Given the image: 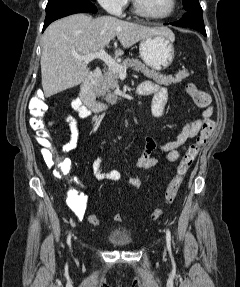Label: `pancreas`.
I'll use <instances>...</instances> for the list:
<instances>
[{"mask_svg": "<svg viewBox=\"0 0 240 287\" xmlns=\"http://www.w3.org/2000/svg\"><path fill=\"white\" fill-rule=\"evenodd\" d=\"M121 66L132 67L137 72H142L146 77L153 79L155 82L168 86L172 83H179L190 75L187 70L179 71L175 77L171 75L165 76L155 70H151L145 66L139 59L126 58L120 63ZM119 74L108 68L104 71L103 76L98 81L96 93L98 97L104 99L107 103L113 104L117 101V97L112 90L118 88Z\"/></svg>", "mask_w": 240, "mask_h": 287, "instance_id": "1", "label": "pancreas"}]
</instances>
